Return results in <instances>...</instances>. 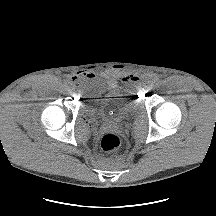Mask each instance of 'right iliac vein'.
I'll list each match as a JSON object with an SVG mask.
<instances>
[{"label":"right iliac vein","mask_w":216,"mask_h":216,"mask_svg":"<svg viewBox=\"0 0 216 216\" xmlns=\"http://www.w3.org/2000/svg\"><path fill=\"white\" fill-rule=\"evenodd\" d=\"M76 90H77V89L74 87V88L71 90V93H72V94H75V93H76Z\"/></svg>","instance_id":"63e3f726"}]
</instances>
